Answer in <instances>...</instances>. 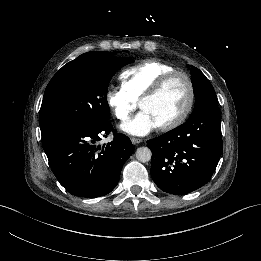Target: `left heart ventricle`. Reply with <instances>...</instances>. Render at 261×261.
Returning <instances> with one entry per match:
<instances>
[{
    "instance_id": "obj_1",
    "label": "left heart ventricle",
    "mask_w": 261,
    "mask_h": 261,
    "mask_svg": "<svg viewBox=\"0 0 261 261\" xmlns=\"http://www.w3.org/2000/svg\"><path fill=\"white\" fill-rule=\"evenodd\" d=\"M188 95V86L185 79L176 77L157 97L144 102L141 109L147 111L157 125L161 126L182 112L188 100Z\"/></svg>"
}]
</instances>
